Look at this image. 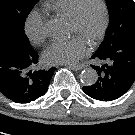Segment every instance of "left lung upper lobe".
<instances>
[{
    "instance_id": "left-lung-upper-lobe-1",
    "label": "left lung upper lobe",
    "mask_w": 135,
    "mask_h": 135,
    "mask_svg": "<svg viewBox=\"0 0 135 135\" xmlns=\"http://www.w3.org/2000/svg\"><path fill=\"white\" fill-rule=\"evenodd\" d=\"M110 14V26L97 51L135 39V2L133 0H105Z\"/></svg>"
}]
</instances>
